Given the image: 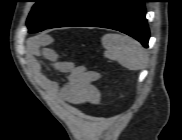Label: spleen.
<instances>
[{
	"label": "spleen",
	"instance_id": "spleen-1",
	"mask_svg": "<svg viewBox=\"0 0 182 140\" xmlns=\"http://www.w3.org/2000/svg\"><path fill=\"white\" fill-rule=\"evenodd\" d=\"M101 41L106 49L105 56L118 61L123 67L130 70H141L146 66L147 53L135 39L126 35L108 33L102 37Z\"/></svg>",
	"mask_w": 182,
	"mask_h": 140
}]
</instances>
